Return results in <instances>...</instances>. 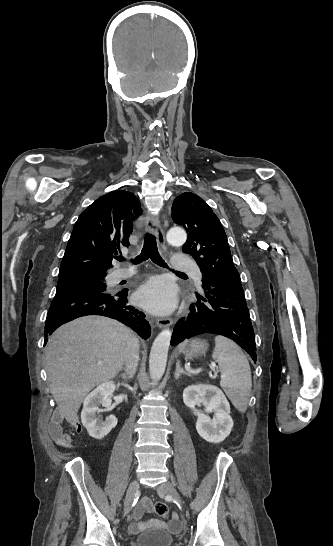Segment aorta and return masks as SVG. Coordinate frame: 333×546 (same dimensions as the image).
I'll use <instances>...</instances> for the list:
<instances>
[{"instance_id": "762f6f07", "label": "aorta", "mask_w": 333, "mask_h": 546, "mask_svg": "<svg viewBox=\"0 0 333 546\" xmlns=\"http://www.w3.org/2000/svg\"><path fill=\"white\" fill-rule=\"evenodd\" d=\"M166 239L172 246H182L187 239V234L184 229L173 227L167 232ZM171 335V331L165 329L159 333L153 342L149 359V371L151 377L155 380L161 379L165 372Z\"/></svg>"}]
</instances>
